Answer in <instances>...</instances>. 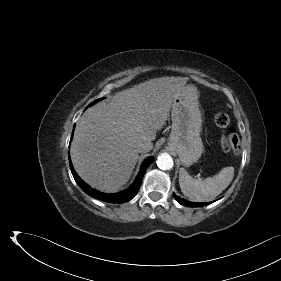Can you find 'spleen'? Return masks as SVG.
I'll return each mask as SVG.
<instances>
[{
  "label": "spleen",
  "instance_id": "1",
  "mask_svg": "<svg viewBox=\"0 0 281 281\" xmlns=\"http://www.w3.org/2000/svg\"><path fill=\"white\" fill-rule=\"evenodd\" d=\"M234 177L233 167H224L214 177L193 179L184 168L179 171V185L182 193L194 202L213 200L225 190Z\"/></svg>",
  "mask_w": 281,
  "mask_h": 281
}]
</instances>
